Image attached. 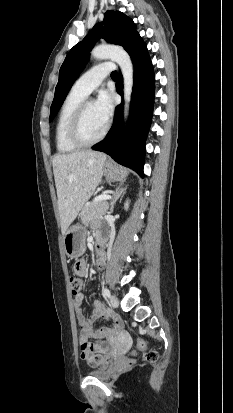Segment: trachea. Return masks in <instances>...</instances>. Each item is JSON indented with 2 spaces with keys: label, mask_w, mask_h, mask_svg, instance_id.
<instances>
[{
  "label": "trachea",
  "mask_w": 233,
  "mask_h": 413,
  "mask_svg": "<svg viewBox=\"0 0 233 413\" xmlns=\"http://www.w3.org/2000/svg\"><path fill=\"white\" fill-rule=\"evenodd\" d=\"M117 76H118V73L116 71L111 73V77H117Z\"/></svg>",
  "instance_id": "obj_1"
}]
</instances>
